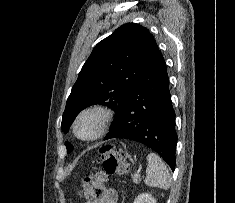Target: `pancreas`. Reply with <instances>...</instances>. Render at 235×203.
Masks as SVG:
<instances>
[{"instance_id": "1", "label": "pancreas", "mask_w": 235, "mask_h": 203, "mask_svg": "<svg viewBox=\"0 0 235 203\" xmlns=\"http://www.w3.org/2000/svg\"><path fill=\"white\" fill-rule=\"evenodd\" d=\"M133 182L138 184L140 182V178L136 175H132Z\"/></svg>"}]
</instances>
